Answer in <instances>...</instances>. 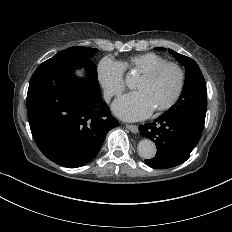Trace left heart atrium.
<instances>
[{
  "label": "left heart atrium",
  "mask_w": 232,
  "mask_h": 232,
  "mask_svg": "<svg viewBox=\"0 0 232 232\" xmlns=\"http://www.w3.org/2000/svg\"><path fill=\"white\" fill-rule=\"evenodd\" d=\"M112 111L120 119L137 121L150 116L154 108L142 92L134 91L117 99L112 106Z\"/></svg>",
  "instance_id": "1"
}]
</instances>
